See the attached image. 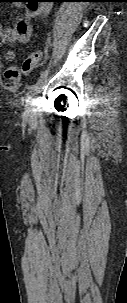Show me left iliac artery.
<instances>
[{
  "label": "left iliac artery",
  "mask_w": 127,
  "mask_h": 303,
  "mask_svg": "<svg viewBox=\"0 0 127 303\" xmlns=\"http://www.w3.org/2000/svg\"><path fill=\"white\" fill-rule=\"evenodd\" d=\"M48 72H49V68H46L45 70H43L41 73H40V76L39 78L37 79V81L31 85L29 87V90H30V93L31 94H35L37 93L38 89L40 88V86L42 85L45 77L48 75Z\"/></svg>",
  "instance_id": "1"
}]
</instances>
